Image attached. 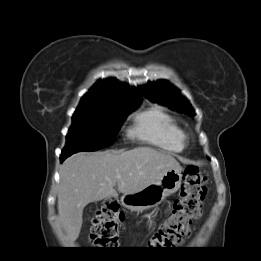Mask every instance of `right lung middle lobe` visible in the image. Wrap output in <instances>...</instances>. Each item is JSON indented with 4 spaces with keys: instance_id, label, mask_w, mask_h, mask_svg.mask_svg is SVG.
<instances>
[{
    "instance_id": "obj_1",
    "label": "right lung middle lobe",
    "mask_w": 261,
    "mask_h": 261,
    "mask_svg": "<svg viewBox=\"0 0 261 261\" xmlns=\"http://www.w3.org/2000/svg\"><path fill=\"white\" fill-rule=\"evenodd\" d=\"M141 100L87 99L81 101L73 115L62 154L95 151L112 145L124 118Z\"/></svg>"
}]
</instances>
